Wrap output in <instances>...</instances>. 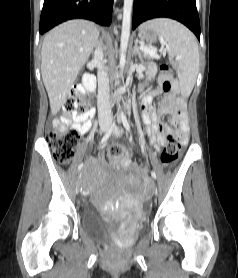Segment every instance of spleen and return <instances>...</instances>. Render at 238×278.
<instances>
[{
  "instance_id": "1",
  "label": "spleen",
  "mask_w": 238,
  "mask_h": 278,
  "mask_svg": "<svg viewBox=\"0 0 238 278\" xmlns=\"http://www.w3.org/2000/svg\"><path fill=\"white\" fill-rule=\"evenodd\" d=\"M142 26L159 33L160 42L166 44L170 62L178 68L182 92L189 95L199 70V51L195 35L181 23L166 18L147 21ZM174 56L177 62L172 60Z\"/></svg>"
}]
</instances>
